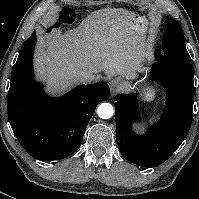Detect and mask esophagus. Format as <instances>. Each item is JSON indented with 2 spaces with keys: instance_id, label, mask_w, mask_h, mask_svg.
<instances>
[{
  "instance_id": "1",
  "label": "esophagus",
  "mask_w": 199,
  "mask_h": 199,
  "mask_svg": "<svg viewBox=\"0 0 199 199\" xmlns=\"http://www.w3.org/2000/svg\"><path fill=\"white\" fill-rule=\"evenodd\" d=\"M109 85H110V88H111V95L113 96L114 94H116L121 86H122V82L120 79L118 78H115V79H111L109 81Z\"/></svg>"
}]
</instances>
